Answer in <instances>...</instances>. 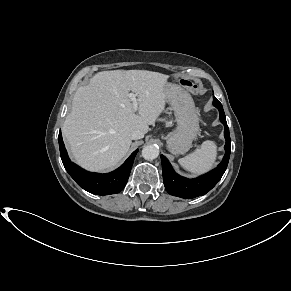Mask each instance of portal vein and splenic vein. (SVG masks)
Returning a JSON list of instances; mask_svg holds the SVG:
<instances>
[{
    "mask_svg": "<svg viewBox=\"0 0 291 291\" xmlns=\"http://www.w3.org/2000/svg\"><path fill=\"white\" fill-rule=\"evenodd\" d=\"M128 96L131 99V101L133 102V109L136 112L137 109H138V101H137V98H136V94L130 93Z\"/></svg>",
    "mask_w": 291,
    "mask_h": 291,
    "instance_id": "18ae733b",
    "label": "portal vein and splenic vein"
}]
</instances>
